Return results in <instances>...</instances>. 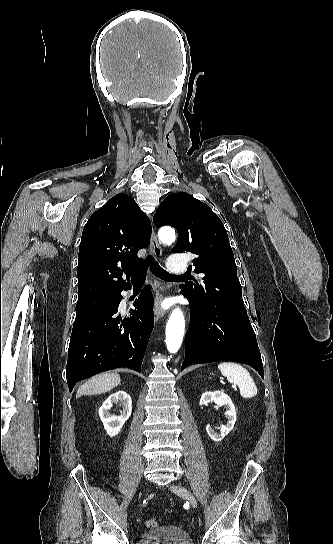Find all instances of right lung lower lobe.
I'll return each mask as SVG.
<instances>
[{"label": "right lung lower lobe", "mask_w": 333, "mask_h": 544, "mask_svg": "<svg viewBox=\"0 0 333 544\" xmlns=\"http://www.w3.org/2000/svg\"><path fill=\"white\" fill-rule=\"evenodd\" d=\"M127 289L130 285L122 290ZM120 292L114 304L74 323L66 367L70 392L79 380L103 371L128 367L140 372L154 326L153 296L145 286L133 304L135 309L122 319L117 315Z\"/></svg>", "instance_id": "1"}]
</instances>
